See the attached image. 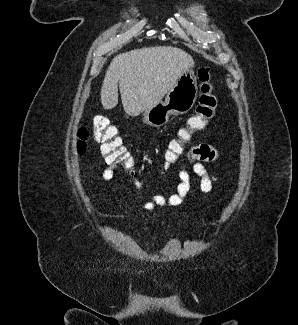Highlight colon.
Masks as SVG:
<instances>
[{
  "mask_svg": "<svg viewBox=\"0 0 298 325\" xmlns=\"http://www.w3.org/2000/svg\"><path fill=\"white\" fill-rule=\"evenodd\" d=\"M200 95L198 105L184 127L180 128L177 135L172 139L165 151V163L167 166L177 162L183 154L185 146L191 142L195 132L206 128L210 119L214 116L217 99L213 93L212 76L208 67H202L197 72ZM92 136L100 144V149L105 159L109 162L122 166L135 178L134 162L128 150L123 145L122 139L116 126L106 117L95 116L91 120V129L81 126L77 131V151L83 153L88 138ZM140 185V181L137 180Z\"/></svg>",
  "mask_w": 298,
  "mask_h": 325,
  "instance_id": "5ec220e1",
  "label": "colon"
}]
</instances>
